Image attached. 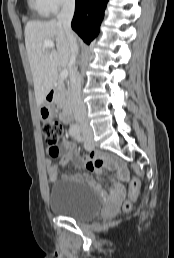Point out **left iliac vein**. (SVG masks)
<instances>
[{
  "instance_id": "obj_1",
  "label": "left iliac vein",
  "mask_w": 174,
  "mask_h": 258,
  "mask_svg": "<svg viewBox=\"0 0 174 258\" xmlns=\"http://www.w3.org/2000/svg\"><path fill=\"white\" fill-rule=\"evenodd\" d=\"M84 147L87 150H92L94 148L93 135L91 132H89L85 137Z\"/></svg>"
}]
</instances>
